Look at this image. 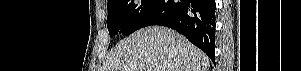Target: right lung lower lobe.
<instances>
[{"instance_id": "obj_1", "label": "right lung lower lobe", "mask_w": 301, "mask_h": 71, "mask_svg": "<svg viewBox=\"0 0 301 71\" xmlns=\"http://www.w3.org/2000/svg\"><path fill=\"white\" fill-rule=\"evenodd\" d=\"M215 0H157L140 28L167 26L178 31L215 61Z\"/></svg>"}]
</instances>
